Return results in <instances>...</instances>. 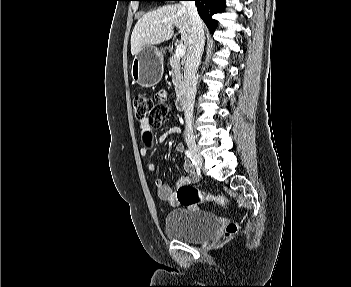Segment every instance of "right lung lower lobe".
<instances>
[{"instance_id":"98d812e1","label":"right lung lower lobe","mask_w":351,"mask_h":287,"mask_svg":"<svg viewBox=\"0 0 351 287\" xmlns=\"http://www.w3.org/2000/svg\"><path fill=\"white\" fill-rule=\"evenodd\" d=\"M195 2L200 17L203 19L209 30L213 33L216 22L212 19V15L223 10L225 0H195Z\"/></svg>"}]
</instances>
